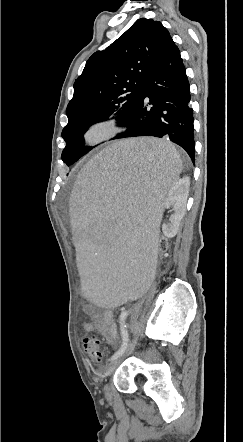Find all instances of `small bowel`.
I'll list each match as a JSON object with an SVG mask.
<instances>
[{
  "label": "small bowel",
  "instance_id": "small-bowel-1",
  "mask_svg": "<svg viewBox=\"0 0 243 442\" xmlns=\"http://www.w3.org/2000/svg\"><path fill=\"white\" fill-rule=\"evenodd\" d=\"M87 312L92 321L86 324V329L95 330L109 344L114 345L117 341L118 333L112 310L109 309L99 314L95 309L89 308Z\"/></svg>",
  "mask_w": 243,
  "mask_h": 442
}]
</instances>
